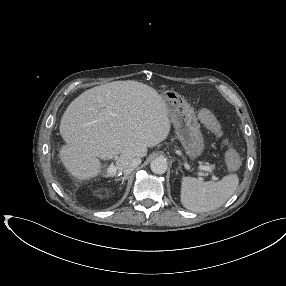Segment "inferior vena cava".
I'll use <instances>...</instances> for the list:
<instances>
[{"label": "inferior vena cava", "mask_w": 286, "mask_h": 286, "mask_svg": "<svg viewBox=\"0 0 286 286\" xmlns=\"http://www.w3.org/2000/svg\"><path fill=\"white\" fill-rule=\"evenodd\" d=\"M141 164V159L139 157H135V158H130L128 160L125 161L123 168H122V172L125 175L130 174L136 167H138V165Z\"/></svg>", "instance_id": "inferior-vena-cava-1"}]
</instances>
